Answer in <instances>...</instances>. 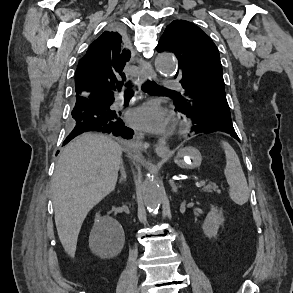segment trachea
I'll return each mask as SVG.
<instances>
[{"label": "trachea", "instance_id": "3493384b", "mask_svg": "<svg viewBox=\"0 0 293 293\" xmlns=\"http://www.w3.org/2000/svg\"><path fill=\"white\" fill-rule=\"evenodd\" d=\"M143 88L152 94H157V93H174V92H169L167 90H165L164 88L160 87V86H156L155 84H153L151 81H146L143 84ZM134 92L132 90H126L125 91V95H132Z\"/></svg>", "mask_w": 293, "mask_h": 293}]
</instances>
